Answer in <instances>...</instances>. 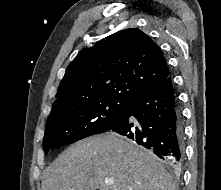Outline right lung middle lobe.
<instances>
[{"mask_svg": "<svg viewBox=\"0 0 221 190\" xmlns=\"http://www.w3.org/2000/svg\"><path fill=\"white\" fill-rule=\"evenodd\" d=\"M126 104L125 100L105 98L51 111L43 139L45 154L52 148L112 129L123 117Z\"/></svg>", "mask_w": 221, "mask_h": 190, "instance_id": "1", "label": "right lung middle lobe"}]
</instances>
